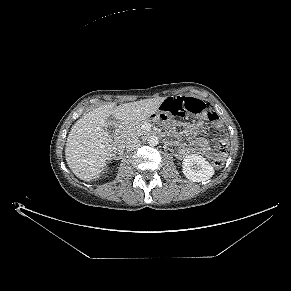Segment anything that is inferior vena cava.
<instances>
[{
  "label": "inferior vena cava",
  "instance_id": "obj_1",
  "mask_svg": "<svg viewBox=\"0 0 291 291\" xmlns=\"http://www.w3.org/2000/svg\"><path fill=\"white\" fill-rule=\"evenodd\" d=\"M139 146H140V141L135 137H131L126 141V149L128 151H133Z\"/></svg>",
  "mask_w": 291,
  "mask_h": 291
}]
</instances>
